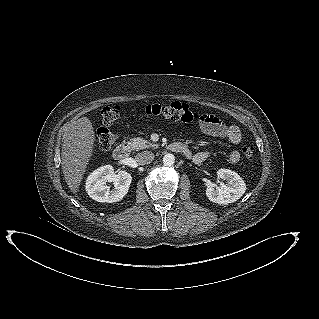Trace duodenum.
Returning a JSON list of instances; mask_svg holds the SVG:
<instances>
[{"label":"duodenum","instance_id":"obj_1","mask_svg":"<svg viewBox=\"0 0 319 319\" xmlns=\"http://www.w3.org/2000/svg\"><path fill=\"white\" fill-rule=\"evenodd\" d=\"M169 149L177 153L188 155V149L186 148V146H184L181 143H172L169 145ZM129 151H130L129 144L122 143L114 149L113 157L115 160H118V161L124 160L128 156Z\"/></svg>","mask_w":319,"mask_h":319}]
</instances>
